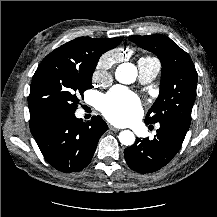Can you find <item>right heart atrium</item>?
<instances>
[{
  "label": "right heart atrium",
  "mask_w": 217,
  "mask_h": 217,
  "mask_svg": "<svg viewBox=\"0 0 217 217\" xmlns=\"http://www.w3.org/2000/svg\"><path fill=\"white\" fill-rule=\"evenodd\" d=\"M115 55L113 52H108L100 58L96 70L94 72V79L98 82H106L110 79L111 69L114 64Z\"/></svg>",
  "instance_id": "d8ad5b80"
}]
</instances>
